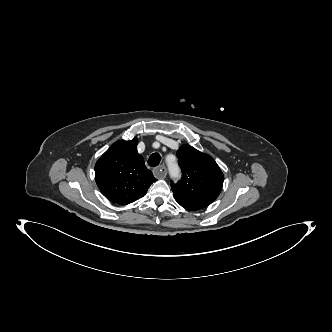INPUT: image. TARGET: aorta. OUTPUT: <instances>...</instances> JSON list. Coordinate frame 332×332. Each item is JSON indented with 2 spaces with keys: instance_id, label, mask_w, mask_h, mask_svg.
I'll list each match as a JSON object with an SVG mask.
<instances>
[{
  "instance_id": "obj_1",
  "label": "aorta",
  "mask_w": 332,
  "mask_h": 332,
  "mask_svg": "<svg viewBox=\"0 0 332 332\" xmlns=\"http://www.w3.org/2000/svg\"><path fill=\"white\" fill-rule=\"evenodd\" d=\"M172 155L166 156V163L168 165L169 173L171 177L176 178L180 174V169L178 164L175 161H171Z\"/></svg>"
}]
</instances>
